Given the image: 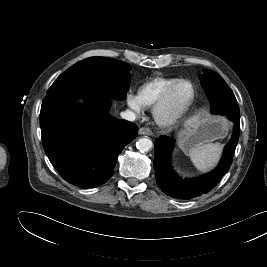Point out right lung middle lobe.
Listing matches in <instances>:
<instances>
[{
	"label": "right lung middle lobe",
	"instance_id": "1",
	"mask_svg": "<svg viewBox=\"0 0 267 267\" xmlns=\"http://www.w3.org/2000/svg\"><path fill=\"white\" fill-rule=\"evenodd\" d=\"M130 66L106 57L84 59L62 73L52 84L43 103L70 91H91L124 100L130 85Z\"/></svg>",
	"mask_w": 267,
	"mask_h": 267
}]
</instances>
